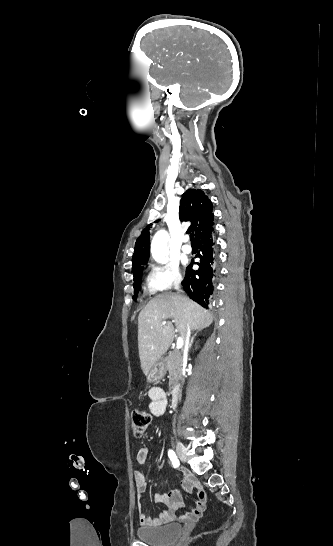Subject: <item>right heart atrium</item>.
<instances>
[{"label": "right heart atrium", "instance_id": "1", "mask_svg": "<svg viewBox=\"0 0 333 546\" xmlns=\"http://www.w3.org/2000/svg\"><path fill=\"white\" fill-rule=\"evenodd\" d=\"M183 277L178 264L165 262L153 265L146 278L149 293L155 294L180 287Z\"/></svg>", "mask_w": 333, "mask_h": 546}]
</instances>
